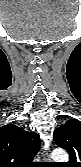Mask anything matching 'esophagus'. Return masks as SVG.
I'll use <instances>...</instances> for the list:
<instances>
[{
    "instance_id": "34e87169",
    "label": "esophagus",
    "mask_w": 81,
    "mask_h": 167,
    "mask_svg": "<svg viewBox=\"0 0 81 167\" xmlns=\"http://www.w3.org/2000/svg\"><path fill=\"white\" fill-rule=\"evenodd\" d=\"M44 158H45L46 160H48V156H45Z\"/></svg>"
}]
</instances>
